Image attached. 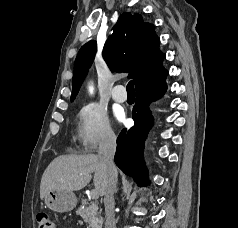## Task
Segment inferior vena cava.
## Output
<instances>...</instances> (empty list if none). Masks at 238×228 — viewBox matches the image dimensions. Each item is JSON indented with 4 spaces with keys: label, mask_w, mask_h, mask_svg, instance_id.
Wrapping results in <instances>:
<instances>
[{
    "label": "inferior vena cava",
    "mask_w": 238,
    "mask_h": 228,
    "mask_svg": "<svg viewBox=\"0 0 238 228\" xmlns=\"http://www.w3.org/2000/svg\"><path fill=\"white\" fill-rule=\"evenodd\" d=\"M116 151V137L110 132L101 140L98 155L103 159L108 170V181L104 195L105 206V228H116L114 215V192L117 185V169L114 164Z\"/></svg>",
    "instance_id": "inferior-vena-cava-1"
}]
</instances>
